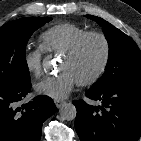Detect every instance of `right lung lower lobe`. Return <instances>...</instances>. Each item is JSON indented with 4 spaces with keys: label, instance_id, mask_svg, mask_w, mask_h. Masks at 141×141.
Here are the masks:
<instances>
[{
    "label": "right lung lower lobe",
    "instance_id": "right-lung-lower-lobe-1",
    "mask_svg": "<svg viewBox=\"0 0 141 141\" xmlns=\"http://www.w3.org/2000/svg\"><path fill=\"white\" fill-rule=\"evenodd\" d=\"M31 90V83L0 88V141H40L43 122L53 115V100L40 95L17 107Z\"/></svg>",
    "mask_w": 141,
    "mask_h": 141
}]
</instances>
